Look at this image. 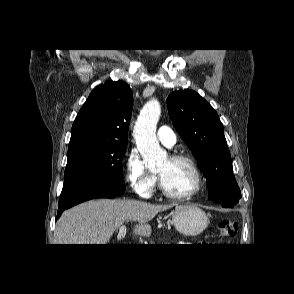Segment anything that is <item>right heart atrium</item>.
Masks as SVG:
<instances>
[{
  "label": "right heart atrium",
  "mask_w": 294,
  "mask_h": 294,
  "mask_svg": "<svg viewBox=\"0 0 294 294\" xmlns=\"http://www.w3.org/2000/svg\"><path fill=\"white\" fill-rule=\"evenodd\" d=\"M125 179L142 198L151 197L157 184L156 175L147 170L136 150H132L125 161Z\"/></svg>",
  "instance_id": "1"
}]
</instances>
